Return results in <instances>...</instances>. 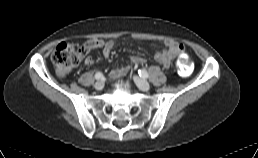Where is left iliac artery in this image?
Segmentation results:
<instances>
[{
  "mask_svg": "<svg viewBox=\"0 0 258 158\" xmlns=\"http://www.w3.org/2000/svg\"><path fill=\"white\" fill-rule=\"evenodd\" d=\"M138 74H139L142 78H148V77H149L147 71L144 70V69H139V70H138Z\"/></svg>",
  "mask_w": 258,
  "mask_h": 158,
  "instance_id": "44dca946",
  "label": "left iliac artery"
}]
</instances>
